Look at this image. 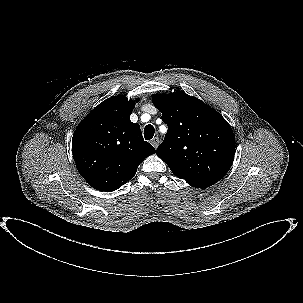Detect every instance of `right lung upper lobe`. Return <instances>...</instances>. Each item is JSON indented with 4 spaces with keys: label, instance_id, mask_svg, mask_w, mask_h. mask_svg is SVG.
I'll return each mask as SVG.
<instances>
[{
    "label": "right lung upper lobe",
    "instance_id": "cb5924a9",
    "mask_svg": "<svg viewBox=\"0 0 303 303\" xmlns=\"http://www.w3.org/2000/svg\"><path fill=\"white\" fill-rule=\"evenodd\" d=\"M135 106L124 96L111 97L78 125L72 138L77 169L93 188L114 191L134 177L139 164L154 154L139 124L130 121Z\"/></svg>",
    "mask_w": 303,
    "mask_h": 303
}]
</instances>
